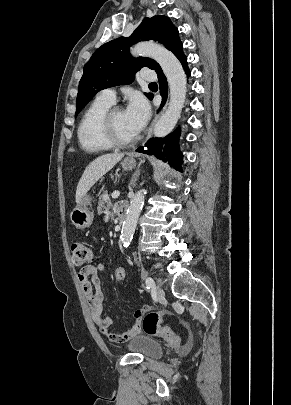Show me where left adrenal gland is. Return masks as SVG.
<instances>
[{
    "mask_svg": "<svg viewBox=\"0 0 291 405\" xmlns=\"http://www.w3.org/2000/svg\"><path fill=\"white\" fill-rule=\"evenodd\" d=\"M139 173H140V170H137V171L135 172V174H134V177H133L132 181H131V184H133L134 186H135L136 178H137V176L139 175Z\"/></svg>",
    "mask_w": 291,
    "mask_h": 405,
    "instance_id": "left-adrenal-gland-1",
    "label": "left adrenal gland"
}]
</instances>
